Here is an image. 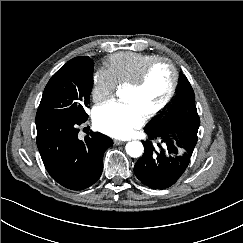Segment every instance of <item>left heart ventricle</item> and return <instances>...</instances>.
Instances as JSON below:
<instances>
[{
  "mask_svg": "<svg viewBox=\"0 0 243 243\" xmlns=\"http://www.w3.org/2000/svg\"><path fill=\"white\" fill-rule=\"evenodd\" d=\"M172 70L167 63L156 65L138 89L126 87L124 100L135 104L145 115L166 98L172 84Z\"/></svg>",
  "mask_w": 243,
  "mask_h": 243,
  "instance_id": "left-heart-ventricle-1",
  "label": "left heart ventricle"
}]
</instances>
